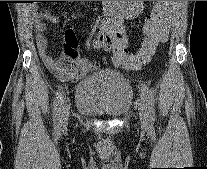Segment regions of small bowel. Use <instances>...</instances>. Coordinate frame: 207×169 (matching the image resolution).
<instances>
[{
	"label": "small bowel",
	"instance_id": "1",
	"mask_svg": "<svg viewBox=\"0 0 207 169\" xmlns=\"http://www.w3.org/2000/svg\"><path fill=\"white\" fill-rule=\"evenodd\" d=\"M73 2V1H67ZM143 1H127L121 4L119 1H102L104 19L100 29L113 31L114 42L123 41L127 44L124 35L123 21L138 15ZM58 16L47 10L33 13V22L36 31V44L39 55L46 68L62 81H73L101 68L99 62H94L79 56L77 40L72 28H68L64 36V50L59 58H53L48 51V40L45 35L46 22L58 21Z\"/></svg>",
	"mask_w": 207,
	"mask_h": 169
}]
</instances>
